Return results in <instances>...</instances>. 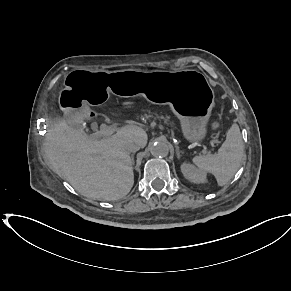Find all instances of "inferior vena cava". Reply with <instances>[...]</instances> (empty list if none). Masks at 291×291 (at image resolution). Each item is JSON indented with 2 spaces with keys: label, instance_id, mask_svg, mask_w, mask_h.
Wrapping results in <instances>:
<instances>
[{
  "label": "inferior vena cava",
  "instance_id": "obj_1",
  "mask_svg": "<svg viewBox=\"0 0 291 291\" xmlns=\"http://www.w3.org/2000/svg\"><path fill=\"white\" fill-rule=\"evenodd\" d=\"M124 148L127 153H134L140 149V145L137 143L131 142V143H127Z\"/></svg>",
  "mask_w": 291,
  "mask_h": 291
}]
</instances>
